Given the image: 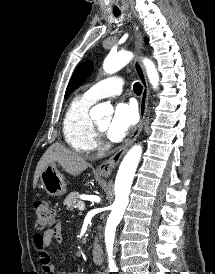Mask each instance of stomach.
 <instances>
[{
  "mask_svg": "<svg viewBox=\"0 0 215 274\" xmlns=\"http://www.w3.org/2000/svg\"><path fill=\"white\" fill-rule=\"evenodd\" d=\"M42 187L51 196H61L66 193V183L58 171L56 163H49L40 175Z\"/></svg>",
  "mask_w": 215,
  "mask_h": 274,
  "instance_id": "obj_1",
  "label": "stomach"
}]
</instances>
